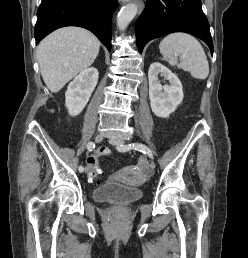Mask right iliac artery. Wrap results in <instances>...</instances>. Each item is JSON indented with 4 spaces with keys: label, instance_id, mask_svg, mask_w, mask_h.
Wrapping results in <instances>:
<instances>
[{
    "label": "right iliac artery",
    "instance_id": "obj_1",
    "mask_svg": "<svg viewBox=\"0 0 248 258\" xmlns=\"http://www.w3.org/2000/svg\"><path fill=\"white\" fill-rule=\"evenodd\" d=\"M95 148V143L94 142H89L88 144H87V149L89 150V151H92L93 149ZM79 172H83L84 171V167L83 166H79Z\"/></svg>",
    "mask_w": 248,
    "mask_h": 258
}]
</instances>
